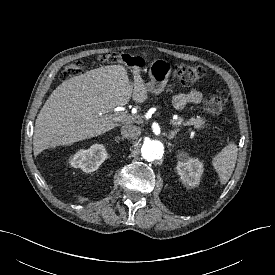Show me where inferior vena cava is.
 Returning a JSON list of instances; mask_svg holds the SVG:
<instances>
[{"label":"inferior vena cava","instance_id":"inferior-vena-cava-1","mask_svg":"<svg viewBox=\"0 0 275 275\" xmlns=\"http://www.w3.org/2000/svg\"><path fill=\"white\" fill-rule=\"evenodd\" d=\"M121 134L127 139H136L141 134V129L136 125L128 124L122 126Z\"/></svg>","mask_w":275,"mask_h":275}]
</instances>
